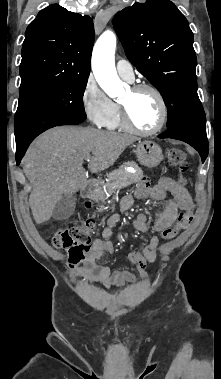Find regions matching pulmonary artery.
<instances>
[{
    "label": "pulmonary artery",
    "mask_w": 221,
    "mask_h": 379,
    "mask_svg": "<svg viewBox=\"0 0 221 379\" xmlns=\"http://www.w3.org/2000/svg\"><path fill=\"white\" fill-rule=\"evenodd\" d=\"M116 70L122 79L128 82H132L134 80L133 67L128 61L119 60L116 64Z\"/></svg>",
    "instance_id": "pulmonary-artery-1"
}]
</instances>
